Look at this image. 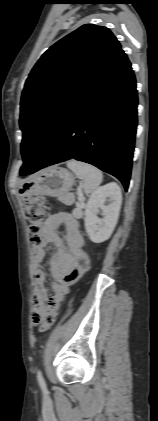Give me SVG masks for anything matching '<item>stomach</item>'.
Segmentation results:
<instances>
[{"mask_svg":"<svg viewBox=\"0 0 158 421\" xmlns=\"http://www.w3.org/2000/svg\"><path fill=\"white\" fill-rule=\"evenodd\" d=\"M75 183L74 175L60 167L46 168L20 186L23 198L37 195L61 197L66 195Z\"/></svg>","mask_w":158,"mask_h":421,"instance_id":"obj_1","label":"stomach"}]
</instances>
